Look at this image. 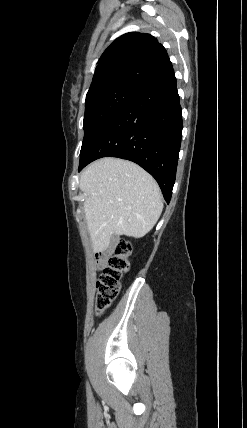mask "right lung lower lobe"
Segmentation results:
<instances>
[{"label": "right lung lower lobe", "mask_w": 247, "mask_h": 428, "mask_svg": "<svg viewBox=\"0 0 247 428\" xmlns=\"http://www.w3.org/2000/svg\"><path fill=\"white\" fill-rule=\"evenodd\" d=\"M182 115L174 70L127 103L80 157L79 171L106 156L139 164L170 202L182 137Z\"/></svg>", "instance_id": "98d812e1"}]
</instances>
